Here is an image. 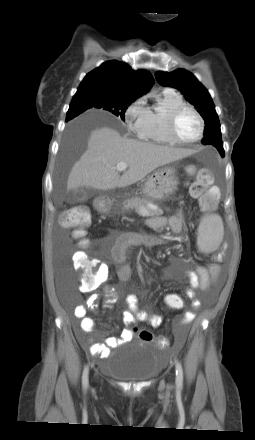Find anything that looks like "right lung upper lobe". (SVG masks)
<instances>
[{
	"label": "right lung upper lobe",
	"mask_w": 255,
	"mask_h": 440,
	"mask_svg": "<svg viewBox=\"0 0 255 440\" xmlns=\"http://www.w3.org/2000/svg\"><path fill=\"white\" fill-rule=\"evenodd\" d=\"M152 85L153 77L148 71H134L128 64L113 60L88 73L76 94L91 92L134 101L147 93ZM70 119L66 118V121Z\"/></svg>",
	"instance_id": "obj_1"
}]
</instances>
